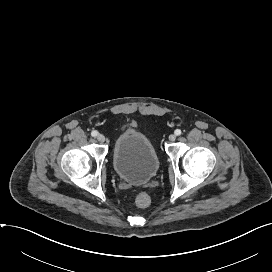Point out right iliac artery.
<instances>
[{"mask_svg": "<svg viewBox=\"0 0 272 272\" xmlns=\"http://www.w3.org/2000/svg\"><path fill=\"white\" fill-rule=\"evenodd\" d=\"M91 135H92L93 137H96V136L98 135V132L94 130V131L91 132Z\"/></svg>", "mask_w": 272, "mask_h": 272, "instance_id": "obj_1", "label": "right iliac artery"}]
</instances>
